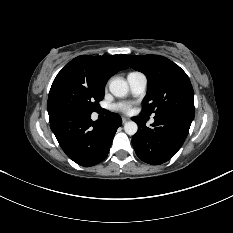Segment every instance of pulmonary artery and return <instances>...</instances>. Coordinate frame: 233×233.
Listing matches in <instances>:
<instances>
[{
  "instance_id": "obj_1",
  "label": "pulmonary artery",
  "mask_w": 233,
  "mask_h": 233,
  "mask_svg": "<svg viewBox=\"0 0 233 233\" xmlns=\"http://www.w3.org/2000/svg\"><path fill=\"white\" fill-rule=\"evenodd\" d=\"M131 92L134 95H142L147 87V79L142 73H132L127 77Z\"/></svg>"
}]
</instances>
